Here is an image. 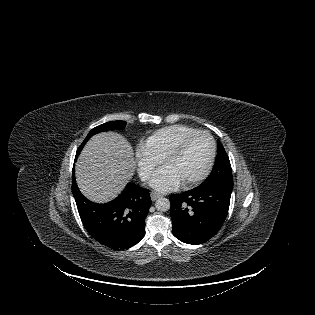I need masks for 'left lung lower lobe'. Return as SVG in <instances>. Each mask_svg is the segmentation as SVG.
<instances>
[{"instance_id":"1","label":"left lung lower lobe","mask_w":315,"mask_h":315,"mask_svg":"<svg viewBox=\"0 0 315 315\" xmlns=\"http://www.w3.org/2000/svg\"><path fill=\"white\" fill-rule=\"evenodd\" d=\"M233 186L204 185L172 194L170 215L173 234L188 244H202L221 228L227 216Z\"/></svg>"}]
</instances>
